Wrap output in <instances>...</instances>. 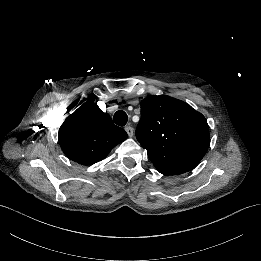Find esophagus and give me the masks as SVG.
<instances>
[{
	"label": "esophagus",
	"instance_id": "obj_1",
	"mask_svg": "<svg viewBox=\"0 0 261 261\" xmlns=\"http://www.w3.org/2000/svg\"><path fill=\"white\" fill-rule=\"evenodd\" d=\"M125 131L127 132L129 137L133 136V128L130 126L125 127Z\"/></svg>",
	"mask_w": 261,
	"mask_h": 261
}]
</instances>
